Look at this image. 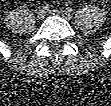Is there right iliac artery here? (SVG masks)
<instances>
[{
  "mask_svg": "<svg viewBox=\"0 0 111 106\" xmlns=\"http://www.w3.org/2000/svg\"><path fill=\"white\" fill-rule=\"evenodd\" d=\"M49 5H44V6H42V10L44 11V12H46V11H49Z\"/></svg>",
  "mask_w": 111,
  "mask_h": 106,
  "instance_id": "82829eb1",
  "label": "right iliac artery"
}]
</instances>
